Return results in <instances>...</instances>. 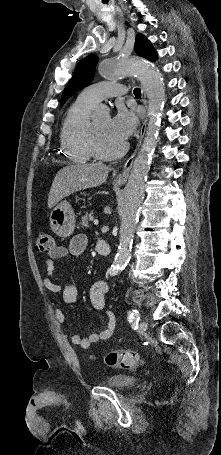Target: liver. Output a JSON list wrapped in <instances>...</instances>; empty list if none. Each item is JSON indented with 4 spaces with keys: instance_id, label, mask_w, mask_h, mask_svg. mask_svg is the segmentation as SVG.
Returning <instances> with one entry per match:
<instances>
[{
    "instance_id": "6515ba94",
    "label": "liver",
    "mask_w": 221,
    "mask_h": 455,
    "mask_svg": "<svg viewBox=\"0 0 221 455\" xmlns=\"http://www.w3.org/2000/svg\"><path fill=\"white\" fill-rule=\"evenodd\" d=\"M110 167L102 163L75 164L63 167L55 176L48 196V208L70 194L106 182Z\"/></svg>"
}]
</instances>
